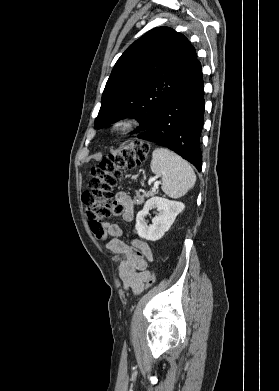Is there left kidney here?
Wrapping results in <instances>:
<instances>
[{
  "label": "left kidney",
  "mask_w": 279,
  "mask_h": 391,
  "mask_svg": "<svg viewBox=\"0 0 279 391\" xmlns=\"http://www.w3.org/2000/svg\"><path fill=\"white\" fill-rule=\"evenodd\" d=\"M185 205L179 201H173L162 197H152L145 203L142 211L136 216L135 229L139 237L148 241H157L163 237L176 216L182 212ZM157 209V215L152 219V224L147 226L145 217L151 209Z\"/></svg>",
  "instance_id": "left-kidney-1"
}]
</instances>
